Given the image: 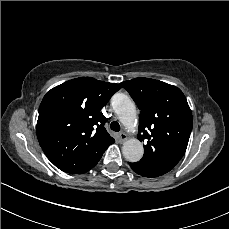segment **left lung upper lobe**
I'll use <instances>...</instances> for the list:
<instances>
[{"label":"left lung upper lobe","instance_id":"1","mask_svg":"<svg viewBox=\"0 0 229 229\" xmlns=\"http://www.w3.org/2000/svg\"><path fill=\"white\" fill-rule=\"evenodd\" d=\"M120 85L141 110L137 137L147 143L136 164L153 177L169 172L184 156L193 126L186 97L176 86L149 78L138 77Z\"/></svg>","mask_w":229,"mask_h":229}]
</instances>
